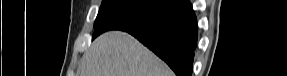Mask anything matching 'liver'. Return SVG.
<instances>
[{"mask_svg":"<svg viewBox=\"0 0 287 76\" xmlns=\"http://www.w3.org/2000/svg\"><path fill=\"white\" fill-rule=\"evenodd\" d=\"M80 76H173L170 68L125 32L99 36L83 54Z\"/></svg>","mask_w":287,"mask_h":76,"instance_id":"liver-1","label":"liver"}]
</instances>
